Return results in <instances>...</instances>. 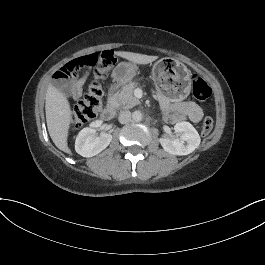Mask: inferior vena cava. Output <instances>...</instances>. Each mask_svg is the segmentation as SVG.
<instances>
[{
	"label": "inferior vena cava",
	"instance_id": "1",
	"mask_svg": "<svg viewBox=\"0 0 265 265\" xmlns=\"http://www.w3.org/2000/svg\"><path fill=\"white\" fill-rule=\"evenodd\" d=\"M131 119V112L126 110V111H121L119 114V122L121 124H126L130 121Z\"/></svg>",
	"mask_w": 265,
	"mask_h": 265
}]
</instances>
